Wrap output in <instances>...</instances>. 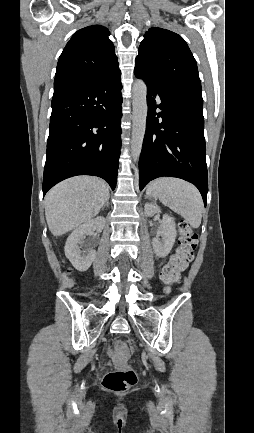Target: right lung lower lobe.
Here are the masks:
<instances>
[{
    "mask_svg": "<svg viewBox=\"0 0 254 433\" xmlns=\"http://www.w3.org/2000/svg\"><path fill=\"white\" fill-rule=\"evenodd\" d=\"M120 74L54 86L43 196L76 175L101 177L115 189L121 148Z\"/></svg>",
    "mask_w": 254,
    "mask_h": 433,
    "instance_id": "98d812e1",
    "label": "right lung lower lobe"
}]
</instances>
